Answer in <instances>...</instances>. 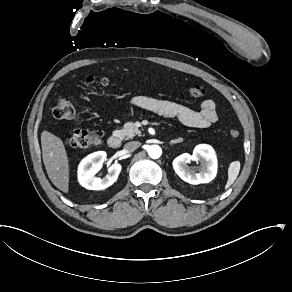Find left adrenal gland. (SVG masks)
Here are the masks:
<instances>
[{"label": "left adrenal gland", "mask_w": 292, "mask_h": 292, "mask_svg": "<svg viewBox=\"0 0 292 292\" xmlns=\"http://www.w3.org/2000/svg\"><path fill=\"white\" fill-rule=\"evenodd\" d=\"M182 141H183L182 138L177 139V140H172V141L169 143V145H170V146H173L174 144L180 143V142H182Z\"/></svg>", "instance_id": "obj_1"}]
</instances>
